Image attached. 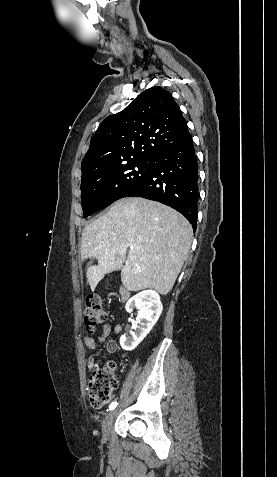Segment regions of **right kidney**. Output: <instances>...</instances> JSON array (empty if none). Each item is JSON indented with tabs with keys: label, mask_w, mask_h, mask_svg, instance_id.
<instances>
[{
	"label": "right kidney",
	"mask_w": 277,
	"mask_h": 477,
	"mask_svg": "<svg viewBox=\"0 0 277 477\" xmlns=\"http://www.w3.org/2000/svg\"><path fill=\"white\" fill-rule=\"evenodd\" d=\"M138 310L137 331H130V336L122 335L120 345L126 351L134 350L139 343L151 331L157 320L159 319L163 306L160 301L159 294L154 290H144L131 297L126 303V311L131 313L133 309Z\"/></svg>",
	"instance_id": "1"
}]
</instances>
